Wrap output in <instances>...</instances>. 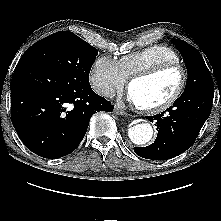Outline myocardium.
Instances as JSON below:
<instances>
[{"label":"myocardium","instance_id":"f54148a6","mask_svg":"<svg viewBox=\"0 0 221 221\" xmlns=\"http://www.w3.org/2000/svg\"><path fill=\"white\" fill-rule=\"evenodd\" d=\"M177 69L181 73V81L180 84L177 88V90L164 102L154 105V106H142L136 104V107L139 111L144 112V113H149V114H158L161 112H164L171 108L182 96L184 93L187 82H188V74L186 68L181 65L180 63H161L152 67H149L147 69L138 71L134 73L132 76H130L129 81H128V88L132 85L133 82L140 80V79H146L153 77L157 74H160L164 71L168 70H173Z\"/></svg>","mask_w":221,"mask_h":221}]
</instances>
